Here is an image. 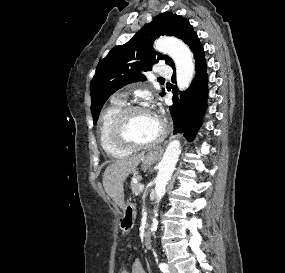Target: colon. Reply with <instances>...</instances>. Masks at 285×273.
I'll list each match as a JSON object with an SVG mask.
<instances>
[{
  "mask_svg": "<svg viewBox=\"0 0 285 273\" xmlns=\"http://www.w3.org/2000/svg\"><path fill=\"white\" fill-rule=\"evenodd\" d=\"M125 271V268H121L120 270H119V273H123Z\"/></svg>",
  "mask_w": 285,
  "mask_h": 273,
  "instance_id": "1",
  "label": "colon"
}]
</instances>
